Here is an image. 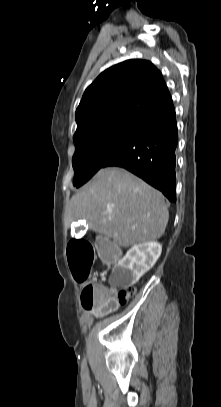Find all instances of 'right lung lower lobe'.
<instances>
[{"label":"right lung lower lobe","instance_id":"right-lung-lower-lobe-1","mask_svg":"<svg viewBox=\"0 0 221 407\" xmlns=\"http://www.w3.org/2000/svg\"><path fill=\"white\" fill-rule=\"evenodd\" d=\"M178 142L172 100L138 123L125 143L102 165L123 167L176 201L175 149Z\"/></svg>","mask_w":221,"mask_h":407}]
</instances>
